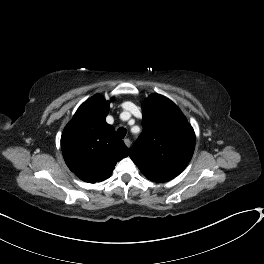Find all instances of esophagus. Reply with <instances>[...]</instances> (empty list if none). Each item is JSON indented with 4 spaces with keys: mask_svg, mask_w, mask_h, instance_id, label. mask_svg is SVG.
<instances>
[{
    "mask_svg": "<svg viewBox=\"0 0 264 264\" xmlns=\"http://www.w3.org/2000/svg\"><path fill=\"white\" fill-rule=\"evenodd\" d=\"M124 143L128 148L131 146V141L128 138L124 139Z\"/></svg>",
    "mask_w": 264,
    "mask_h": 264,
    "instance_id": "esophagus-1",
    "label": "esophagus"
}]
</instances>
